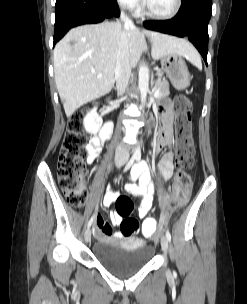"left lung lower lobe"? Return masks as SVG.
I'll use <instances>...</instances> for the list:
<instances>
[{"instance_id":"left-lung-lower-lobe-1","label":"left lung lower lobe","mask_w":247,"mask_h":304,"mask_svg":"<svg viewBox=\"0 0 247 304\" xmlns=\"http://www.w3.org/2000/svg\"><path fill=\"white\" fill-rule=\"evenodd\" d=\"M212 0H182L177 15L166 21H145L147 29L187 37L201 53L207 64L208 22Z\"/></svg>"}]
</instances>
